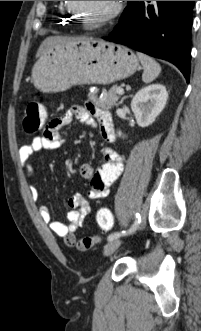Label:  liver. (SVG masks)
I'll return each mask as SVG.
<instances>
[{
	"label": "liver",
	"instance_id": "1",
	"mask_svg": "<svg viewBox=\"0 0 201 331\" xmlns=\"http://www.w3.org/2000/svg\"><path fill=\"white\" fill-rule=\"evenodd\" d=\"M84 38H69V37H62V36H50L47 37L40 45L37 51V57H40L46 50L53 47L56 44L71 41V40H79Z\"/></svg>",
	"mask_w": 201,
	"mask_h": 331
}]
</instances>
